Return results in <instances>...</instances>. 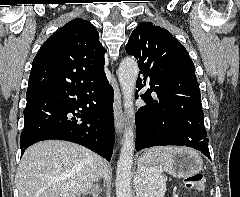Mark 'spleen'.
Returning <instances> with one entry per match:
<instances>
[{"label": "spleen", "mask_w": 240, "mask_h": 197, "mask_svg": "<svg viewBox=\"0 0 240 197\" xmlns=\"http://www.w3.org/2000/svg\"><path fill=\"white\" fill-rule=\"evenodd\" d=\"M178 150L176 147H155L149 149L150 152L156 153L160 158H166L171 152ZM141 175L145 178L144 197H163L166 191V181L157 166L151 167Z\"/></svg>", "instance_id": "spleen-1"}]
</instances>
